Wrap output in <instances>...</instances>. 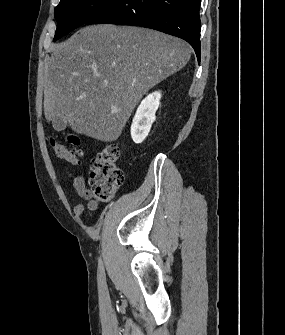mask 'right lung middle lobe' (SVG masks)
I'll return each instance as SVG.
<instances>
[{"label":"right lung middle lobe","instance_id":"right-lung-middle-lobe-1","mask_svg":"<svg viewBox=\"0 0 285 335\" xmlns=\"http://www.w3.org/2000/svg\"><path fill=\"white\" fill-rule=\"evenodd\" d=\"M117 0H61L55 8L57 29L54 41L84 24Z\"/></svg>","mask_w":285,"mask_h":335}]
</instances>
